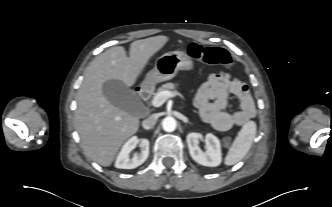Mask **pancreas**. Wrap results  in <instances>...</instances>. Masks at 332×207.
Instances as JSON below:
<instances>
[{
	"mask_svg": "<svg viewBox=\"0 0 332 207\" xmlns=\"http://www.w3.org/2000/svg\"><path fill=\"white\" fill-rule=\"evenodd\" d=\"M177 89V84L176 83H166L162 85L160 88H158L157 93H155V96L163 91H170V90H175Z\"/></svg>",
	"mask_w": 332,
	"mask_h": 207,
	"instance_id": "1",
	"label": "pancreas"
}]
</instances>
